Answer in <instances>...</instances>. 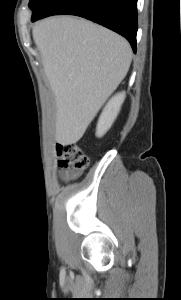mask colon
<instances>
[{"instance_id": "obj_1", "label": "colon", "mask_w": 181, "mask_h": 300, "mask_svg": "<svg viewBox=\"0 0 181 300\" xmlns=\"http://www.w3.org/2000/svg\"><path fill=\"white\" fill-rule=\"evenodd\" d=\"M57 164L72 175L84 171L88 166V157L83 150L74 143H60L56 146Z\"/></svg>"}]
</instances>
